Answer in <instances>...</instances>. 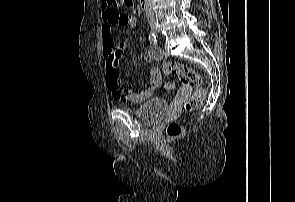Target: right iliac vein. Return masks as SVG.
Listing matches in <instances>:
<instances>
[{
    "instance_id": "right-iliac-vein-1",
    "label": "right iliac vein",
    "mask_w": 295,
    "mask_h": 202,
    "mask_svg": "<svg viewBox=\"0 0 295 202\" xmlns=\"http://www.w3.org/2000/svg\"><path fill=\"white\" fill-rule=\"evenodd\" d=\"M151 28H152V30H153L154 32L157 31V28H156V26H155V23H152V24H151Z\"/></svg>"
}]
</instances>
